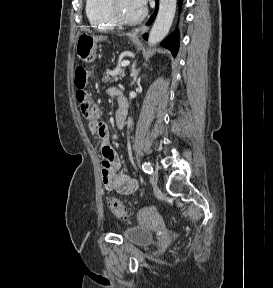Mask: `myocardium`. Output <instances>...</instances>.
<instances>
[{
  "mask_svg": "<svg viewBox=\"0 0 273 288\" xmlns=\"http://www.w3.org/2000/svg\"><path fill=\"white\" fill-rule=\"evenodd\" d=\"M106 11L108 17L117 25H135L140 23L146 16V9L142 13L132 19L124 18L118 10V0H106Z\"/></svg>",
  "mask_w": 273,
  "mask_h": 288,
  "instance_id": "f54148a6",
  "label": "myocardium"
}]
</instances>
